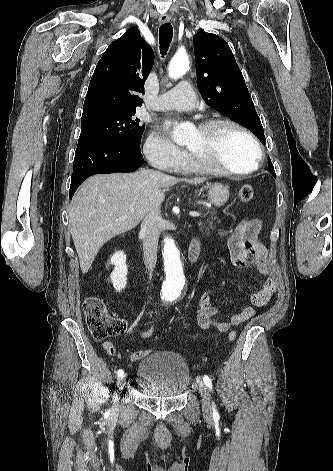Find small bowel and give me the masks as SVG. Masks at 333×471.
I'll use <instances>...</instances> for the list:
<instances>
[{
    "instance_id": "1",
    "label": "small bowel",
    "mask_w": 333,
    "mask_h": 471,
    "mask_svg": "<svg viewBox=\"0 0 333 471\" xmlns=\"http://www.w3.org/2000/svg\"><path fill=\"white\" fill-rule=\"evenodd\" d=\"M261 227V222L257 219L244 220L238 224L227 241L231 263L237 268L254 267L264 278L262 289L250 296V302L255 307L265 306L276 289L275 281L269 275L267 249L259 241ZM253 315L254 308L246 306L232 315L229 321H221L218 317V309L212 303V296L209 293H203L199 300L197 324L202 330L216 328L219 332L225 333L232 327L246 322ZM102 348L110 356L116 353L110 341H104Z\"/></svg>"
}]
</instances>
